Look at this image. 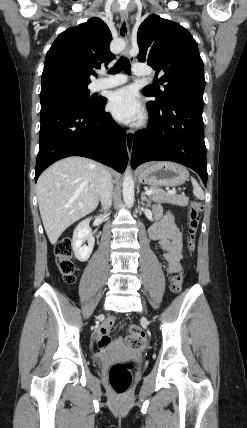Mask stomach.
<instances>
[{
    "label": "stomach",
    "instance_id": "obj_1",
    "mask_svg": "<svg viewBox=\"0 0 247 428\" xmlns=\"http://www.w3.org/2000/svg\"><path fill=\"white\" fill-rule=\"evenodd\" d=\"M138 179L143 184L152 186H180L189 177L188 170L174 162H156L142 166L137 171Z\"/></svg>",
    "mask_w": 247,
    "mask_h": 428
}]
</instances>
